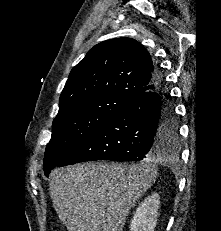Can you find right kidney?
I'll return each instance as SVG.
<instances>
[{
  "mask_svg": "<svg viewBox=\"0 0 221 231\" xmlns=\"http://www.w3.org/2000/svg\"><path fill=\"white\" fill-rule=\"evenodd\" d=\"M160 198L157 193L148 196L136 209L130 231H154L157 224Z\"/></svg>",
  "mask_w": 221,
  "mask_h": 231,
  "instance_id": "right-kidney-1",
  "label": "right kidney"
}]
</instances>
